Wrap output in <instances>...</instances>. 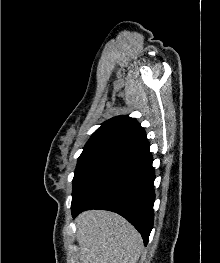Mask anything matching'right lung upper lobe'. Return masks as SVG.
Wrapping results in <instances>:
<instances>
[{
  "instance_id": "obj_1",
  "label": "right lung upper lobe",
  "mask_w": 220,
  "mask_h": 263,
  "mask_svg": "<svg viewBox=\"0 0 220 263\" xmlns=\"http://www.w3.org/2000/svg\"><path fill=\"white\" fill-rule=\"evenodd\" d=\"M147 140L145 131L131 117L117 116L104 122L86 143L84 152L120 151Z\"/></svg>"
}]
</instances>
